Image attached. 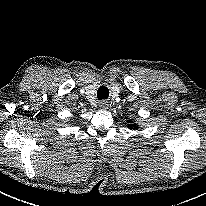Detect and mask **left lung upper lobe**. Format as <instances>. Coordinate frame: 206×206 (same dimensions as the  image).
<instances>
[{
    "label": "left lung upper lobe",
    "instance_id": "obj_1",
    "mask_svg": "<svg viewBox=\"0 0 206 206\" xmlns=\"http://www.w3.org/2000/svg\"><path fill=\"white\" fill-rule=\"evenodd\" d=\"M130 127H131V129H132V126H130ZM133 127H134V129H137V128H138V127H137V126H135V125H134Z\"/></svg>",
    "mask_w": 206,
    "mask_h": 206
}]
</instances>
